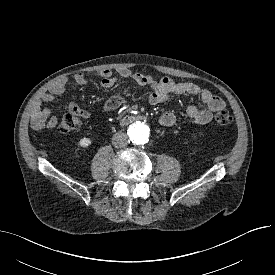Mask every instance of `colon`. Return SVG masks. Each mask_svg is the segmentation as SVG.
<instances>
[{
  "mask_svg": "<svg viewBox=\"0 0 275 275\" xmlns=\"http://www.w3.org/2000/svg\"><path fill=\"white\" fill-rule=\"evenodd\" d=\"M215 120L220 125H228L232 122V116L227 110H220L215 115ZM80 125V116L76 113L69 112L61 117L58 124V131L62 134H69L77 130Z\"/></svg>",
  "mask_w": 275,
  "mask_h": 275,
  "instance_id": "1",
  "label": "colon"
}]
</instances>
